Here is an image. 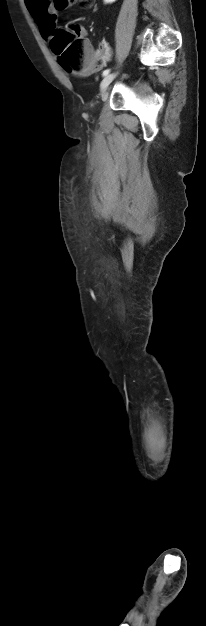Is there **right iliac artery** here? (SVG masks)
<instances>
[{
    "label": "right iliac artery",
    "instance_id": "right-iliac-artery-1",
    "mask_svg": "<svg viewBox=\"0 0 206 626\" xmlns=\"http://www.w3.org/2000/svg\"><path fill=\"white\" fill-rule=\"evenodd\" d=\"M109 72H110V69H106V70H104V71H103V74H102V75H103V76H106V75H108V73H109Z\"/></svg>",
    "mask_w": 206,
    "mask_h": 626
}]
</instances>
